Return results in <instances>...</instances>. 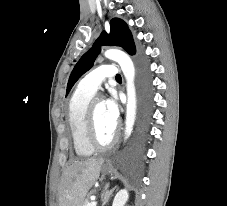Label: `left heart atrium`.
<instances>
[{
	"label": "left heart atrium",
	"mask_w": 227,
	"mask_h": 206,
	"mask_svg": "<svg viewBox=\"0 0 227 206\" xmlns=\"http://www.w3.org/2000/svg\"><path fill=\"white\" fill-rule=\"evenodd\" d=\"M105 113L110 123L116 127L119 119V105L115 97L108 98L105 102Z\"/></svg>",
	"instance_id": "obj_1"
}]
</instances>
